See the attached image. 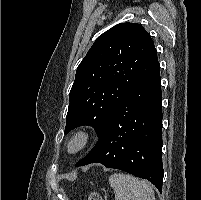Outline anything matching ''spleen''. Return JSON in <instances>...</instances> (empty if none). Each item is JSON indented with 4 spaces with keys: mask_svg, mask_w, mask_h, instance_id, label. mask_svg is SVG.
I'll list each match as a JSON object with an SVG mask.
<instances>
[{
    "mask_svg": "<svg viewBox=\"0 0 201 200\" xmlns=\"http://www.w3.org/2000/svg\"><path fill=\"white\" fill-rule=\"evenodd\" d=\"M109 184L115 200H155L151 185L131 175L115 173L109 177Z\"/></svg>",
    "mask_w": 201,
    "mask_h": 200,
    "instance_id": "1",
    "label": "spleen"
}]
</instances>
